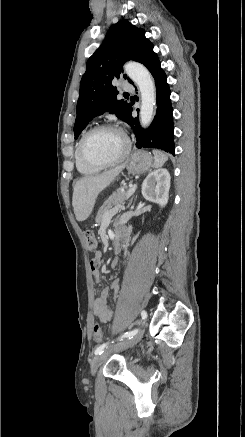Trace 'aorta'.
Wrapping results in <instances>:
<instances>
[{
  "mask_svg": "<svg viewBox=\"0 0 245 437\" xmlns=\"http://www.w3.org/2000/svg\"><path fill=\"white\" fill-rule=\"evenodd\" d=\"M125 72L138 86L141 93L140 123L147 127L153 120V110L156 103V90L153 78L142 64L129 62L124 66Z\"/></svg>",
  "mask_w": 245,
  "mask_h": 437,
  "instance_id": "aorta-1",
  "label": "aorta"
}]
</instances>
